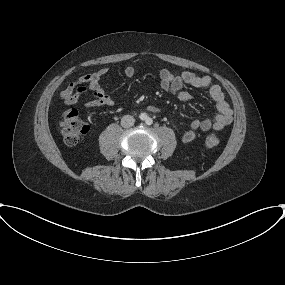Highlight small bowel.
I'll return each mask as SVG.
<instances>
[{
  "label": "small bowel",
  "instance_id": "obj_1",
  "mask_svg": "<svg viewBox=\"0 0 285 285\" xmlns=\"http://www.w3.org/2000/svg\"><path fill=\"white\" fill-rule=\"evenodd\" d=\"M107 68H102L96 72L85 74L77 81L71 82L61 92L60 97L66 105H72L86 93H90L92 99L84 104L86 108H95L100 106H112L113 99L107 95L101 87L100 81L107 73ZM127 77H133L136 74V69L133 66H127L124 70ZM160 87L174 94L181 101H188L192 95L184 89L185 85H190L195 88L208 92L211 99L214 101L217 113L212 119H195L190 123L187 130L182 131V142H192L198 131L206 132L208 130H221L232 122L233 112L225 98V95L219 85L213 83L211 77L197 75L190 71L174 73L167 69H161L158 72ZM151 111L159 112L160 108L156 106L150 107ZM174 127L180 130L178 124L174 122Z\"/></svg>",
  "mask_w": 285,
  "mask_h": 285
}]
</instances>
